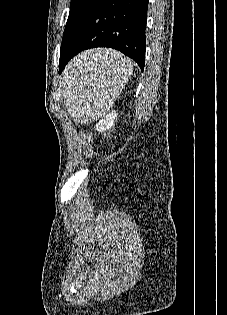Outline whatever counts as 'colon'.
<instances>
[{"mask_svg":"<svg viewBox=\"0 0 227 315\" xmlns=\"http://www.w3.org/2000/svg\"><path fill=\"white\" fill-rule=\"evenodd\" d=\"M80 140L84 146V150L87 156L92 155V138L91 136L86 132H81L80 134Z\"/></svg>","mask_w":227,"mask_h":315,"instance_id":"obj_1","label":"colon"}]
</instances>
